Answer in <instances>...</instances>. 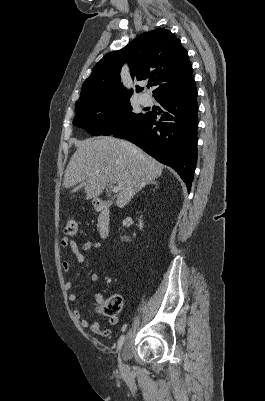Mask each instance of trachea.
Masks as SVG:
<instances>
[{
    "mask_svg": "<svg viewBox=\"0 0 265 401\" xmlns=\"http://www.w3.org/2000/svg\"><path fill=\"white\" fill-rule=\"evenodd\" d=\"M151 86H152V84H151V83H148L147 87L150 88Z\"/></svg>",
    "mask_w": 265,
    "mask_h": 401,
    "instance_id": "3493384b",
    "label": "trachea"
}]
</instances>
